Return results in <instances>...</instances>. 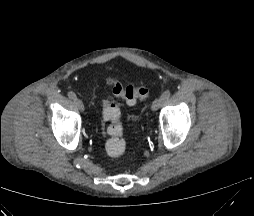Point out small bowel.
Listing matches in <instances>:
<instances>
[{"label":"small bowel","mask_w":254,"mask_h":216,"mask_svg":"<svg viewBox=\"0 0 254 216\" xmlns=\"http://www.w3.org/2000/svg\"><path fill=\"white\" fill-rule=\"evenodd\" d=\"M107 102H109V100H104L103 104H105V103H107Z\"/></svg>","instance_id":"c3829d8e"}]
</instances>
